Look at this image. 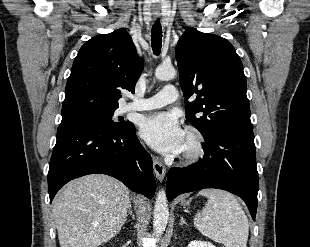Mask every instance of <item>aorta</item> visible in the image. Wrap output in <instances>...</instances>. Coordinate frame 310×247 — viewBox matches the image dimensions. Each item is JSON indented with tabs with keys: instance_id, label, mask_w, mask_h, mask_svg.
<instances>
[{
	"instance_id": "obj_1",
	"label": "aorta",
	"mask_w": 310,
	"mask_h": 247,
	"mask_svg": "<svg viewBox=\"0 0 310 247\" xmlns=\"http://www.w3.org/2000/svg\"><path fill=\"white\" fill-rule=\"evenodd\" d=\"M176 71L172 66H159L155 70V77L159 80H171L175 77ZM169 218L168 200L165 191L158 192L153 217V230L157 237L161 236L166 228Z\"/></svg>"
}]
</instances>
